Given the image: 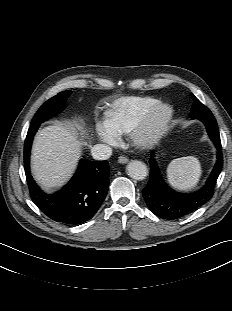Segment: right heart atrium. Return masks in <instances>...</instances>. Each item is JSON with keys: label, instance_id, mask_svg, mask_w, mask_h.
Instances as JSON below:
<instances>
[{"label": "right heart atrium", "instance_id": "right-heart-atrium-1", "mask_svg": "<svg viewBox=\"0 0 232 311\" xmlns=\"http://www.w3.org/2000/svg\"><path fill=\"white\" fill-rule=\"evenodd\" d=\"M94 133L102 142L107 144L115 145L118 142V136L104 122H97L94 125Z\"/></svg>", "mask_w": 232, "mask_h": 311}]
</instances>
